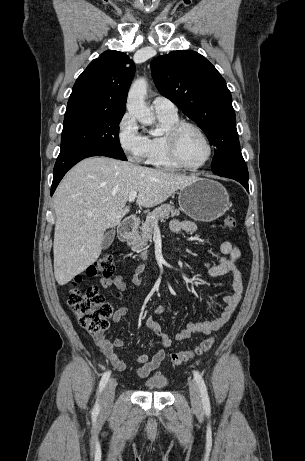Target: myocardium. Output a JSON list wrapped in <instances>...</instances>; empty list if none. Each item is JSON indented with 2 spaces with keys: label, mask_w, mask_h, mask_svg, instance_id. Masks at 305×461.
<instances>
[{
  "label": "myocardium",
  "mask_w": 305,
  "mask_h": 461,
  "mask_svg": "<svg viewBox=\"0 0 305 461\" xmlns=\"http://www.w3.org/2000/svg\"><path fill=\"white\" fill-rule=\"evenodd\" d=\"M187 128L196 131L201 136L207 147V155L205 159L200 164L194 166L185 163L179 153L180 136L182 132ZM166 148L169 157L178 167L190 171H196L203 168L210 161L213 154L212 144L203 129L198 125L187 121H179L169 128L166 135Z\"/></svg>",
  "instance_id": "obj_1"
}]
</instances>
